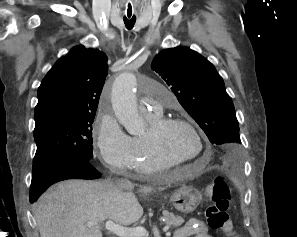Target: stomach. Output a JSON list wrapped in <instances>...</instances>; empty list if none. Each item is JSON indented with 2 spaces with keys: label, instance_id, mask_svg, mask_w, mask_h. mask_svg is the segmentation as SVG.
I'll use <instances>...</instances> for the list:
<instances>
[{
  "label": "stomach",
  "instance_id": "0dacf381",
  "mask_svg": "<svg viewBox=\"0 0 297 237\" xmlns=\"http://www.w3.org/2000/svg\"><path fill=\"white\" fill-rule=\"evenodd\" d=\"M201 200L202 195L197 189L185 185L176 190L170 197L173 207L186 214L193 212Z\"/></svg>",
  "mask_w": 297,
  "mask_h": 237
}]
</instances>
